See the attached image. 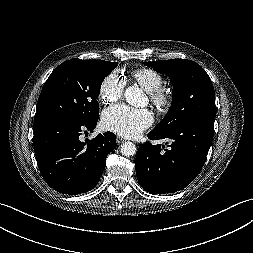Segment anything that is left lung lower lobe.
<instances>
[{"instance_id": "0a47b994", "label": "left lung lower lobe", "mask_w": 253, "mask_h": 253, "mask_svg": "<svg viewBox=\"0 0 253 253\" xmlns=\"http://www.w3.org/2000/svg\"><path fill=\"white\" fill-rule=\"evenodd\" d=\"M214 120L200 118L183 123L169 133L152 130L150 140L168 139L170 148L139 145L135 160L141 187L152 194L174 193L188 186L199 174L213 140ZM168 144V143H166Z\"/></svg>"}]
</instances>
